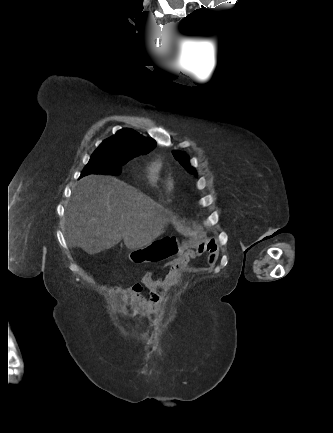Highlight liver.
I'll return each instance as SVG.
<instances>
[{
  "label": "liver",
  "mask_w": 333,
  "mask_h": 433,
  "mask_svg": "<svg viewBox=\"0 0 333 433\" xmlns=\"http://www.w3.org/2000/svg\"><path fill=\"white\" fill-rule=\"evenodd\" d=\"M150 197L115 177L88 175L76 182L66 211V238L71 247L94 255L122 239L129 250L152 243L168 219Z\"/></svg>",
  "instance_id": "liver-1"
}]
</instances>
